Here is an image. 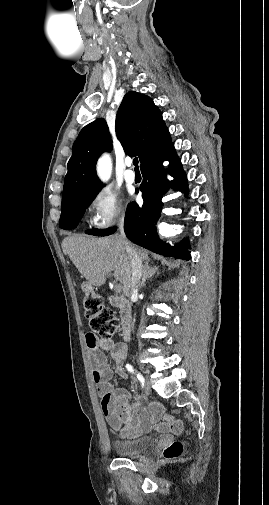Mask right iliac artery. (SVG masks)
I'll list each match as a JSON object with an SVG mask.
<instances>
[{"label":"right iliac artery","instance_id":"obj_1","mask_svg":"<svg viewBox=\"0 0 269 505\" xmlns=\"http://www.w3.org/2000/svg\"><path fill=\"white\" fill-rule=\"evenodd\" d=\"M126 368H127V370H128L129 372H131V373H136V372H135V370H134V368L132 367V365H130V364H126ZM137 378L141 381V384H142V386H143V385H144V383L142 382V376H141L139 373L137 374Z\"/></svg>","mask_w":269,"mask_h":505}]
</instances>
